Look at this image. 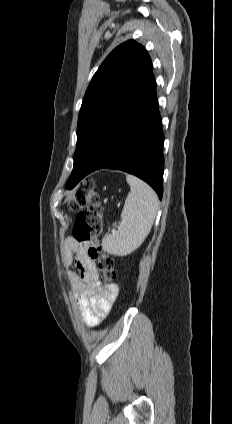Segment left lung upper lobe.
<instances>
[{
    "label": "left lung upper lobe",
    "instance_id": "left-lung-upper-lobe-1",
    "mask_svg": "<svg viewBox=\"0 0 232 424\" xmlns=\"http://www.w3.org/2000/svg\"><path fill=\"white\" fill-rule=\"evenodd\" d=\"M152 72L150 56L134 40L115 48L93 76L77 124L71 176H80L95 143Z\"/></svg>",
    "mask_w": 232,
    "mask_h": 424
}]
</instances>
